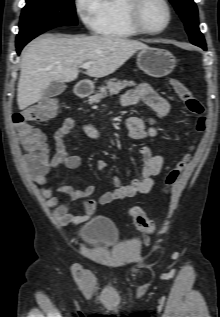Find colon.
I'll list each match as a JSON object with an SVG mask.
<instances>
[{
	"label": "colon",
	"mask_w": 220,
	"mask_h": 317,
	"mask_svg": "<svg viewBox=\"0 0 220 317\" xmlns=\"http://www.w3.org/2000/svg\"><path fill=\"white\" fill-rule=\"evenodd\" d=\"M172 87L185 108L196 119V130L202 133L206 129L207 118L203 104L192 94L190 89L177 78L171 80ZM58 110V103L54 98L43 99L22 112L13 116V123L17 130L19 141L26 150L25 161L28 166L42 169L48 162L47 147L43 134L31 125L32 122H43L53 118ZM192 154H187L166 175L165 184L167 189L175 184L183 170L189 164ZM129 215L136 226L143 232L152 233L155 230L153 221L139 207H132Z\"/></svg>",
	"instance_id": "1"
}]
</instances>
